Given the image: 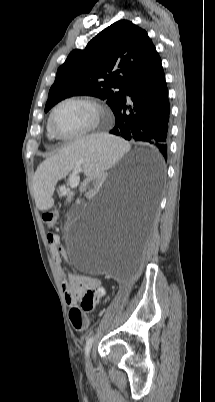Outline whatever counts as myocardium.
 <instances>
[{
	"instance_id": "obj_1",
	"label": "myocardium",
	"mask_w": 215,
	"mask_h": 402,
	"mask_svg": "<svg viewBox=\"0 0 215 402\" xmlns=\"http://www.w3.org/2000/svg\"><path fill=\"white\" fill-rule=\"evenodd\" d=\"M72 102L83 103V104L90 106L94 113L93 121L88 128H86L85 130H83L79 133H76L73 135L59 134L53 126L54 115L61 106H63L64 104H67V103H72ZM106 113L107 112H106V109L104 108V106L95 98L88 97V96H70V97L62 99L52 108V110L49 114V118H48V129L55 138L60 139V140L72 141V140L82 139V138H85V137L93 134L94 132H96L99 129V127L102 123V120L106 116Z\"/></svg>"
}]
</instances>
